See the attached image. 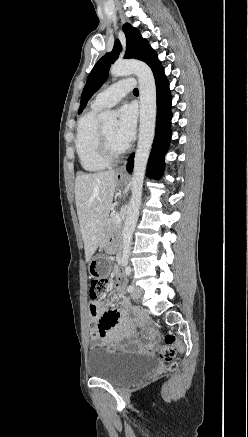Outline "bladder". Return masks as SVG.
<instances>
[{"label": "bladder", "mask_w": 248, "mask_h": 437, "mask_svg": "<svg viewBox=\"0 0 248 437\" xmlns=\"http://www.w3.org/2000/svg\"><path fill=\"white\" fill-rule=\"evenodd\" d=\"M88 362V373L91 377L106 380L114 385H124L148 376L157 366V360L147 354L106 350H92Z\"/></svg>", "instance_id": "obj_1"}]
</instances>
